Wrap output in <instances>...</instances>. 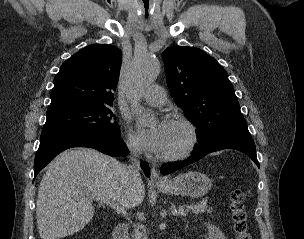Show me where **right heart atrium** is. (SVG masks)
I'll use <instances>...</instances> for the list:
<instances>
[{"label": "right heart atrium", "mask_w": 304, "mask_h": 239, "mask_svg": "<svg viewBox=\"0 0 304 239\" xmlns=\"http://www.w3.org/2000/svg\"><path fill=\"white\" fill-rule=\"evenodd\" d=\"M127 146L133 153H139L141 151L138 142L136 141L134 136L130 133L128 134L127 137Z\"/></svg>", "instance_id": "1"}]
</instances>
